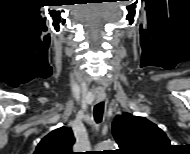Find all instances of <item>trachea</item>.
<instances>
[{
	"instance_id": "trachea-1",
	"label": "trachea",
	"mask_w": 190,
	"mask_h": 154,
	"mask_svg": "<svg viewBox=\"0 0 190 154\" xmlns=\"http://www.w3.org/2000/svg\"><path fill=\"white\" fill-rule=\"evenodd\" d=\"M103 111H104L103 102H100L94 106L93 115L96 123H100L102 121Z\"/></svg>"
}]
</instances>
